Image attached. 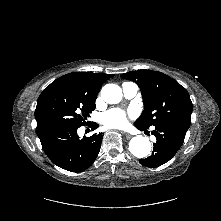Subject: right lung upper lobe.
<instances>
[{"instance_id": "1", "label": "right lung upper lobe", "mask_w": 221, "mask_h": 221, "mask_svg": "<svg viewBox=\"0 0 221 221\" xmlns=\"http://www.w3.org/2000/svg\"><path fill=\"white\" fill-rule=\"evenodd\" d=\"M113 76L114 74L73 72L61 76L55 81L70 83L88 98L96 100L102 84Z\"/></svg>"}]
</instances>
